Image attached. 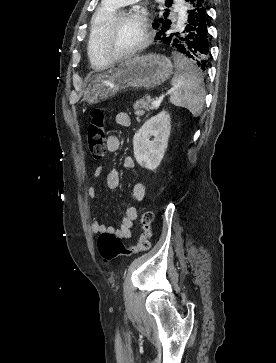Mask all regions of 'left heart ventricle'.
Segmentation results:
<instances>
[{
	"label": "left heart ventricle",
	"instance_id": "left-heart-ventricle-1",
	"mask_svg": "<svg viewBox=\"0 0 276 363\" xmlns=\"http://www.w3.org/2000/svg\"><path fill=\"white\" fill-rule=\"evenodd\" d=\"M143 29L134 20H124L108 33L105 45L113 55L122 54L134 48L142 39Z\"/></svg>",
	"mask_w": 276,
	"mask_h": 363
}]
</instances>
